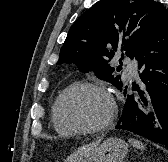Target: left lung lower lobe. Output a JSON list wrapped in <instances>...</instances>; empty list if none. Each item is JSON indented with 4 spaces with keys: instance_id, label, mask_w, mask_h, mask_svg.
Returning a JSON list of instances; mask_svg holds the SVG:
<instances>
[{
    "instance_id": "1",
    "label": "left lung lower lobe",
    "mask_w": 168,
    "mask_h": 162,
    "mask_svg": "<svg viewBox=\"0 0 168 162\" xmlns=\"http://www.w3.org/2000/svg\"><path fill=\"white\" fill-rule=\"evenodd\" d=\"M142 68L141 89L128 95L123 114L115 126L168 148V15L136 54ZM127 86L124 87L126 93Z\"/></svg>"
}]
</instances>
